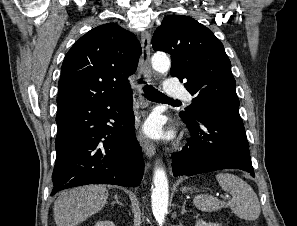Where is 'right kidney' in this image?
Returning a JSON list of instances; mask_svg holds the SVG:
<instances>
[{"instance_id":"ca27d5eb","label":"right kidney","mask_w":297,"mask_h":226,"mask_svg":"<svg viewBox=\"0 0 297 226\" xmlns=\"http://www.w3.org/2000/svg\"><path fill=\"white\" fill-rule=\"evenodd\" d=\"M95 226H115V224L112 221H100Z\"/></svg>"}]
</instances>
